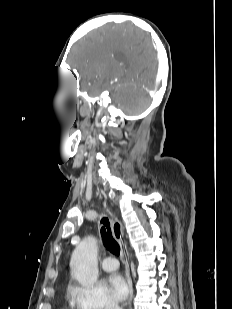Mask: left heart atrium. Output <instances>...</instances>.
<instances>
[{
	"label": "left heart atrium",
	"instance_id": "1",
	"mask_svg": "<svg viewBox=\"0 0 232 309\" xmlns=\"http://www.w3.org/2000/svg\"><path fill=\"white\" fill-rule=\"evenodd\" d=\"M108 287L113 297L118 301H125L129 297L127 279L119 273H114L108 278Z\"/></svg>",
	"mask_w": 232,
	"mask_h": 309
}]
</instances>
